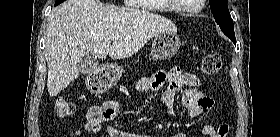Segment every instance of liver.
<instances>
[{
  "instance_id": "6515ba94",
  "label": "liver",
  "mask_w": 280,
  "mask_h": 137,
  "mask_svg": "<svg viewBox=\"0 0 280 137\" xmlns=\"http://www.w3.org/2000/svg\"><path fill=\"white\" fill-rule=\"evenodd\" d=\"M176 31L172 21L147 11L102 5L97 0L63 2L48 17L45 57L50 97L79 77L77 63L84 55L127 58L156 35ZM113 35L119 39H112Z\"/></svg>"
}]
</instances>
